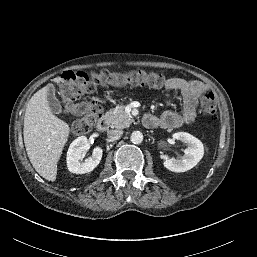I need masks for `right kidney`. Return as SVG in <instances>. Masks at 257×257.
Here are the masks:
<instances>
[{"mask_svg": "<svg viewBox=\"0 0 257 257\" xmlns=\"http://www.w3.org/2000/svg\"><path fill=\"white\" fill-rule=\"evenodd\" d=\"M87 147L88 139L85 136L78 137L71 143L67 152V167L70 172L75 174L89 173L100 163L103 154L100 147L94 148L92 156L84 162L81 161L82 152Z\"/></svg>", "mask_w": 257, "mask_h": 257, "instance_id": "ca27d5eb", "label": "right kidney"}]
</instances>
